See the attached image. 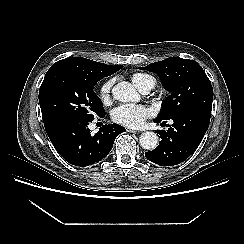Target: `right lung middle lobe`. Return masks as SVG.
I'll return each instance as SVG.
<instances>
[{
    "label": "right lung middle lobe",
    "mask_w": 244,
    "mask_h": 244,
    "mask_svg": "<svg viewBox=\"0 0 244 244\" xmlns=\"http://www.w3.org/2000/svg\"><path fill=\"white\" fill-rule=\"evenodd\" d=\"M99 80L50 67L39 89L44 125L62 119L94 120L95 115L105 116L102 102L93 91Z\"/></svg>",
    "instance_id": "1"
}]
</instances>
